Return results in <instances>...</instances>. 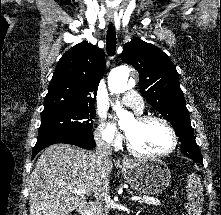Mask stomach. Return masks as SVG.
<instances>
[{
    "instance_id": "obj_1",
    "label": "stomach",
    "mask_w": 221,
    "mask_h": 215,
    "mask_svg": "<svg viewBox=\"0 0 221 215\" xmlns=\"http://www.w3.org/2000/svg\"><path fill=\"white\" fill-rule=\"evenodd\" d=\"M125 182L135 191L146 195L162 192L170 182L171 173L159 159L125 160L122 166Z\"/></svg>"
}]
</instances>
